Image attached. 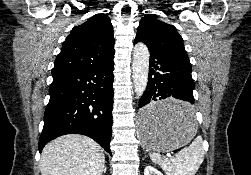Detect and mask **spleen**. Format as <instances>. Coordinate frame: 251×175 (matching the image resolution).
<instances>
[{"label":"spleen","instance_id":"spleen-1","mask_svg":"<svg viewBox=\"0 0 251 175\" xmlns=\"http://www.w3.org/2000/svg\"><path fill=\"white\" fill-rule=\"evenodd\" d=\"M181 117L184 123H190L191 129H195L196 121L193 119L194 115L191 109L185 107L181 111ZM204 153L203 139L201 135H198L189 147L178 151L173 159L161 157L159 153H150V157L154 163H159L163 167L167 175H194L204 159Z\"/></svg>","mask_w":251,"mask_h":175}]
</instances>
